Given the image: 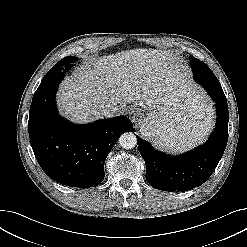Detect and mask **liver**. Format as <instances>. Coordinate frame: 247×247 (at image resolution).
<instances>
[{"mask_svg":"<svg viewBox=\"0 0 247 247\" xmlns=\"http://www.w3.org/2000/svg\"><path fill=\"white\" fill-rule=\"evenodd\" d=\"M184 80L176 58L168 51H122L94 59L91 65L75 70L60 86L58 106L60 112L78 123L101 118L106 103L119 110L133 103L151 111ZM186 110L193 114L197 106L191 104ZM207 111L212 116V107ZM203 126L210 127L211 119Z\"/></svg>","mask_w":247,"mask_h":247,"instance_id":"obj_1","label":"liver"}]
</instances>
